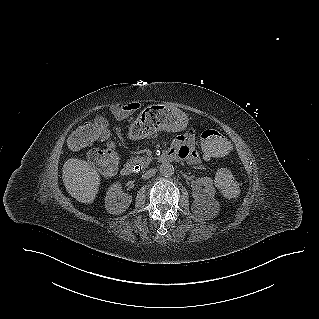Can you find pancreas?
<instances>
[{"instance_id":"pancreas-1","label":"pancreas","mask_w":319,"mask_h":319,"mask_svg":"<svg viewBox=\"0 0 319 319\" xmlns=\"http://www.w3.org/2000/svg\"><path fill=\"white\" fill-rule=\"evenodd\" d=\"M151 160H152V158L148 157V156H145V157L137 156V157H134L132 159L134 164H137V165L141 166L142 168L148 167V165L150 164Z\"/></svg>"}]
</instances>
